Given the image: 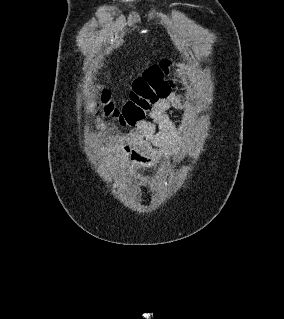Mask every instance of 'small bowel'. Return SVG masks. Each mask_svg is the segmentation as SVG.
<instances>
[{
    "instance_id": "small-bowel-1",
    "label": "small bowel",
    "mask_w": 284,
    "mask_h": 319,
    "mask_svg": "<svg viewBox=\"0 0 284 319\" xmlns=\"http://www.w3.org/2000/svg\"><path fill=\"white\" fill-rule=\"evenodd\" d=\"M171 108L184 110V118L191 124L193 111L186 109L184 98L170 94L155 104L150 113L151 121L140 122L125 138L110 140L112 144L123 146L130 171L155 169L170 155L169 147L173 146L178 138L177 126L167 114Z\"/></svg>"
}]
</instances>
